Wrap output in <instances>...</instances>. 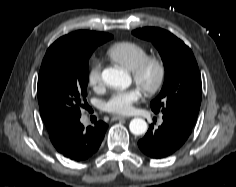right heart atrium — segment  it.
I'll return each mask as SVG.
<instances>
[{"label": "right heart atrium", "mask_w": 236, "mask_h": 187, "mask_svg": "<svg viewBox=\"0 0 236 187\" xmlns=\"http://www.w3.org/2000/svg\"><path fill=\"white\" fill-rule=\"evenodd\" d=\"M87 82L92 88H99L102 86L101 64L98 61L91 63L87 72Z\"/></svg>", "instance_id": "obj_1"}]
</instances>
